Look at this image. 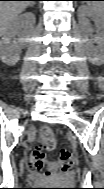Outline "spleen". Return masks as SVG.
Returning a JSON list of instances; mask_svg holds the SVG:
<instances>
[{"mask_svg":"<svg viewBox=\"0 0 104 189\" xmlns=\"http://www.w3.org/2000/svg\"><path fill=\"white\" fill-rule=\"evenodd\" d=\"M87 5L94 11L103 10V2L102 1H89Z\"/></svg>","mask_w":104,"mask_h":189,"instance_id":"spleen-1","label":"spleen"}]
</instances>
